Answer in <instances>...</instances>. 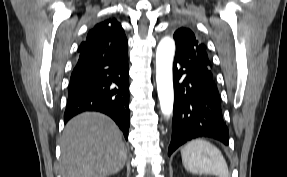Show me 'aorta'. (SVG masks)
Returning <instances> with one entry per match:
<instances>
[{"label": "aorta", "mask_w": 287, "mask_h": 177, "mask_svg": "<svg viewBox=\"0 0 287 177\" xmlns=\"http://www.w3.org/2000/svg\"><path fill=\"white\" fill-rule=\"evenodd\" d=\"M174 53V40L164 37L156 49V83L161 112L165 118H169L173 112L172 63Z\"/></svg>", "instance_id": "obj_1"}]
</instances>
